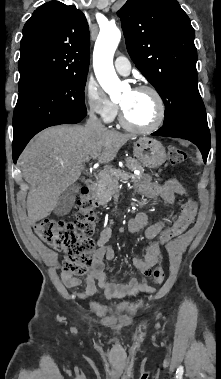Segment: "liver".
Masks as SVG:
<instances>
[{
	"instance_id": "6515ba94",
	"label": "liver",
	"mask_w": 221,
	"mask_h": 379,
	"mask_svg": "<svg viewBox=\"0 0 221 379\" xmlns=\"http://www.w3.org/2000/svg\"><path fill=\"white\" fill-rule=\"evenodd\" d=\"M132 137L86 126H57L40 132L19 158L24 179L30 185L29 222L35 224L50 215L60 195L79 179L89 156L99 163H109Z\"/></svg>"
}]
</instances>
